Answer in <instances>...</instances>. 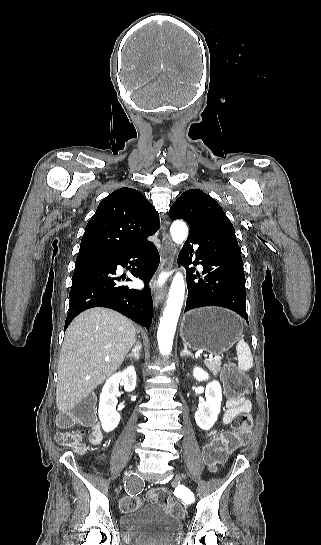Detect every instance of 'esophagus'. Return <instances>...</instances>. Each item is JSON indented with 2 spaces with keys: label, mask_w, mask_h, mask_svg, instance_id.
<instances>
[{
  "label": "esophagus",
  "mask_w": 321,
  "mask_h": 545,
  "mask_svg": "<svg viewBox=\"0 0 321 545\" xmlns=\"http://www.w3.org/2000/svg\"><path fill=\"white\" fill-rule=\"evenodd\" d=\"M174 245L172 243V240L170 236L166 233L165 228L163 229L162 234V245H161V265H160V272H169L172 269L173 261H174ZM167 292V286L164 285L163 287H160L156 292L154 296V300L156 304L161 303L166 296Z\"/></svg>",
  "instance_id": "esophagus-1"
}]
</instances>
